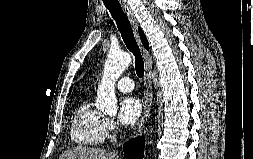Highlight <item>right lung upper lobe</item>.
<instances>
[{
  "instance_id": "cb5924a9",
  "label": "right lung upper lobe",
  "mask_w": 253,
  "mask_h": 159,
  "mask_svg": "<svg viewBox=\"0 0 253 159\" xmlns=\"http://www.w3.org/2000/svg\"><path fill=\"white\" fill-rule=\"evenodd\" d=\"M138 30H139V35H140V38H141V41H142L144 47H145L147 50H149V44H148V41H147L146 36L144 35L143 31H142L140 28H138ZM70 92H71V90H70ZM69 94H70V93H69Z\"/></svg>"
}]
</instances>
